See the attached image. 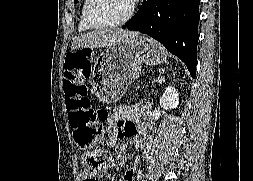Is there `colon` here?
<instances>
[{
	"label": "colon",
	"mask_w": 253,
	"mask_h": 181,
	"mask_svg": "<svg viewBox=\"0 0 253 181\" xmlns=\"http://www.w3.org/2000/svg\"><path fill=\"white\" fill-rule=\"evenodd\" d=\"M89 48H77L66 57L64 92L69 115V125L75 143L81 148H89L103 138L102 122L108 117L103 110L92 108L88 89L79 72V53H89ZM109 154L102 149H94L83 157L85 169L93 175L101 174L109 164Z\"/></svg>",
	"instance_id": "obj_1"
}]
</instances>
